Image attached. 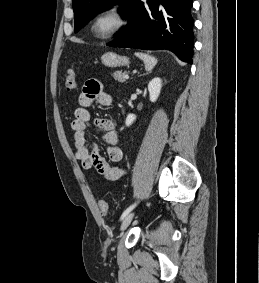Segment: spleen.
<instances>
[{
	"label": "spleen",
	"instance_id": "3e777b00",
	"mask_svg": "<svg viewBox=\"0 0 259 283\" xmlns=\"http://www.w3.org/2000/svg\"><path fill=\"white\" fill-rule=\"evenodd\" d=\"M135 55L144 62L145 69L147 71H151L153 67L157 64V59L151 55L139 52L135 53Z\"/></svg>",
	"mask_w": 259,
	"mask_h": 283
}]
</instances>
